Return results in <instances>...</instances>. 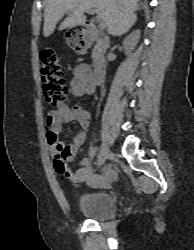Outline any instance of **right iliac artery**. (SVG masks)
I'll return each instance as SVG.
<instances>
[{"label":"right iliac artery","instance_id":"obj_1","mask_svg":"<svg viewBox=\"0 0 194 250\" xmlns=\"http://www.w3.org/2000/svg\"><path fill=\"white\" fill-rule=\"evenodd\" d=\"M93 155H94V152H93ZM100 157H101V149H100L99 154H98V158H100Z\"/></svg>","mask_w":194,"mask_h":250}]
</instances>
